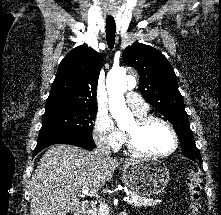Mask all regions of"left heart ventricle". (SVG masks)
I'll use <instances>...</instances> for the list:
<instances>
[{
  "instance_id": "left-heart-ventricle-1",
  "label": "left heart ventricle",
  "mask_w": 221,
  "mask_h": 215,
  "mask_svg": "<svg viewBox=\"0 0 221 215\" xmlns=\"http://www.w3.org/2000/svg\"><path fill=\"white\" fill-rule=\"evenodd\" d=\"M135 136L138 146L146 152L164 153L173 146V138L168 128L160 122H152L139 130L136 120L127 128Z\"/></svg>"
}]
</instances>
